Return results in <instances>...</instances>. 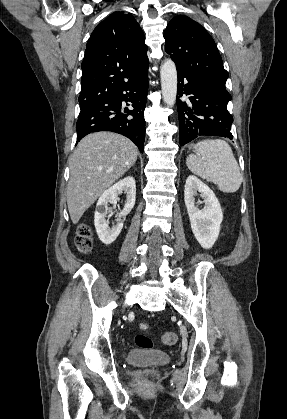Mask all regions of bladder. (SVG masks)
<instances>
[{"label":"bladder","instance_id":"1","mask_svg":"<svg viewBox=\"0 0 287 419\" xmlns=\"http://www.w3.org/2000/svg\"><path fill=\"white\" fill-rule=\"evenodd\" d=\"M126 360L129 364L135 366L149 367L169 363L170 356L158 350L132 348L128 351Z\"/></svg>","mask_w":287,"mask_h":419}]
</instances>
